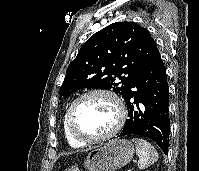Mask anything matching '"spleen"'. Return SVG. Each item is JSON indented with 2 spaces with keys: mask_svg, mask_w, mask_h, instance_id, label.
Listing matches in <instances>:
<instances>
[{
  "mask_svg": "<svg viewBox=\"0 0 199 171\" xmlns=\"http://www.w3.org/2000/svg\"><path fill=\"white\" fill-rule=\"evenodd\" d=\"M132 141L136 146V154L139 156L138 168L143 170L155 163L158 159V154L155 148L142 138H133Z\"/></svg>",
  "mask_w": 199,
  "mask_h": 171,
  "instance_id": "obj_1",
  "label": "spleen"
}]
</instances>
